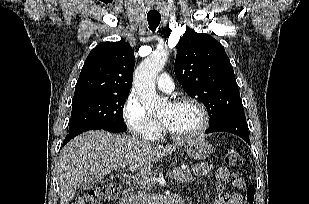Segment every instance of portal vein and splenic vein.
<instances>
[{"label": "portal vein and splenic vein", "instance_id": "portal-vein-and-splenic-vein-1", "mask_svg": "<svg viewBox=\"0 0 309 204\" xmlns=\"http://www.w3.org/2000/svg\"><path fill=\"white\" fill-rule=\"evenodd\" d=\"M124 167H125V165H122V168H124ZM171 175H172L171 172L167 173V176L171 177ZM132 178H133L134 180H136L138 183H141V184H142L144 181L148 180V179H146V178H144V177H137V176H132ZM148 181H149V180H148Z\"/></svg>", "mask_w": 309, "mask_h": 204}]
</instances>
